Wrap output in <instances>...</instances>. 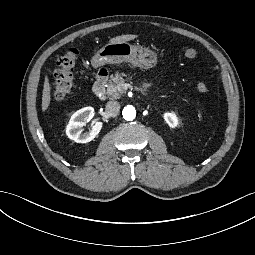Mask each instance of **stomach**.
<instances>
[{
	"mask_svg": "<svg viewBox=\"0 0 255 255\" xmlns=\"http://www.w3.org/2000/svg\"><path fill=\"white\" fill-rule=\"evenodd\" d=\"M120 62H130L146 71L157 65L158 55L150 49L132 46L128 42L107 44L94 54L91 67L99 69L106 64Z\"/></svg>",
	"mask_w": 255,
	"mask_h": 255,
	"instance_id": "1",
	"label": "stomach"
}]
</instances>
